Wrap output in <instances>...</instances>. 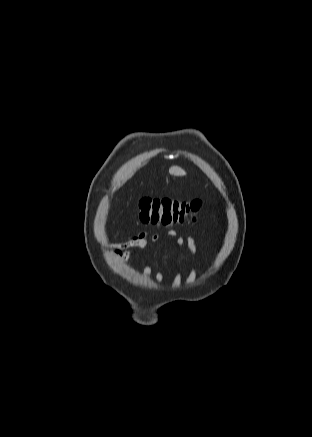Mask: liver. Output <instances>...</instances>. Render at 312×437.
Listing matches in <instances>:
<instances>
[{
	"instance_id": "6515ba94",
	"label": "liver",
	"mask_w": 312,
	"mask_h": 437,
	"mask_svg": "<svg viewBox=\"0 0 312 437\" xmlns=\"http://www.w3.org/2000/svg\"><path fill=\"white\" fill-rule=\"evenodd\" d=\"M169 173L175 176H183L186 174V172L181 169L180 167L173 166L169 169Z\"/></svg>"
}]
</instances>
